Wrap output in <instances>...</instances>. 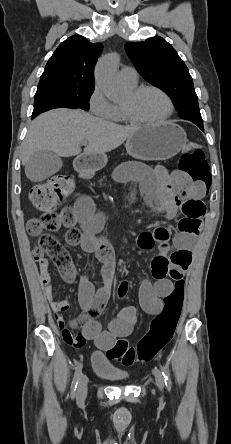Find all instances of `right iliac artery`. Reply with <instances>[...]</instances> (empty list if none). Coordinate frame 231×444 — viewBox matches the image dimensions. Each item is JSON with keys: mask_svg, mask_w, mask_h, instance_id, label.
Here are the masks:
<instances>
[{"mask_svg": "<svg viewBox=\"0 0 231 444\" xmlns=\"http://www.w3.org/2000/svg\"><path fill=\"white\" fill-rule=\"evenodd\" d=\"M82 367H83L82 364H79L76 367L74 378H73V381H72V384H71V395H72V397L75 396V391H76V388H77V385H78V381H79V378H80V375H81V372H82Z\"/></svg>", "mask_w": 231, "mask_h": 444, "instance_id": "82829eb1", "label": "right iliac artery"}]
</instances>
